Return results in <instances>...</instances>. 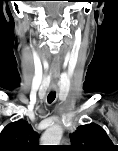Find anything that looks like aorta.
I'll list each match as a JSON object with an SVG mask.
<instances>
[{
	"mask_svg": "<svg viewBox=\"0 0 118 151\" xmlns=\"http://www.w3.org/2000/svg\"><path fill=\"white\" fill-rule=\"evenodd\" d=\"M62 135L63 130L60 126H51L43 133L41 143L42 145H59Z\"/></svg>",
	"mask_w": 118,
	"mask_h": 151,
	"instance_id": "762f6f07",
	"label": "aorta"
}]
</instances>
